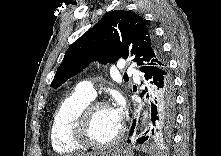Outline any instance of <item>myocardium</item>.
Wrapping results in <instances>:
<instances>
[{"instance_id":"1","label":"myocardium","mask_w":221,"mask_h":156,"mask_svg":"<svg viewBox=\"0 0 221 156\" xmlns=\"http://www.w3.org/2000/svg\"><path fill=\"white\" fill-rule=\"evenodd\" d=\"M109 107L108 103L103 101L89 102L78 114L72 130L73 139L82 147L104 149L115 145L124 134V126L120 124L116 135L107 142L98 143L89 137V126L93 114L100 108Z\"/></svg>"}]
</instances>
